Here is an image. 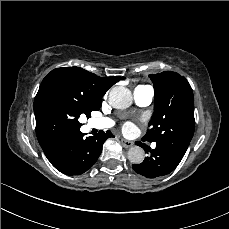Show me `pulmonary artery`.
<instances>
[{"label": "pulmonary artery", "instance_id": "e3ab8cb5", "mask_svg": "<svg viewBox=\"0 0 229 229\" xmlns=\"http://www.w3.org/2000/svg\"><path fill=\"white\" fill-rule=\"evenodd\" d=\"M154 92L149 85H139L133 91L134 101L138 106L146 107L153 101ZM112 125V122L107 119H92L90 126L96 129H107ZM155 145H153L154 147Z\"/></svg>", "mask_w": 229, "mask_h": 229}]
</instances>
